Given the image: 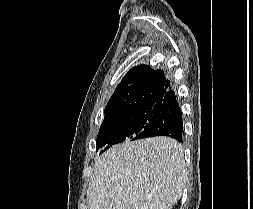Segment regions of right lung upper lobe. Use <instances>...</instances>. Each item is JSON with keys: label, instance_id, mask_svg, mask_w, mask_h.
I'll list each match as a JSON object with an SVG mask.
<instances>
[{"label": "right lung upper lobe", "instance_id": "obj_1", "mask_svg": "<svg viewBox=\"0 0 253 209\" xmlns=\"http://www.w3.org/2000/svg\"><path fill=\"white\" fill-rule=\"evenodd\" d=\"M170 87L163 70H153L147 65L133 67L107 103L103 122L136 108L153 106Z\"/></svg>", "mask_w": 253, "mask_h": 209}]
</instances>
